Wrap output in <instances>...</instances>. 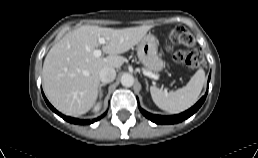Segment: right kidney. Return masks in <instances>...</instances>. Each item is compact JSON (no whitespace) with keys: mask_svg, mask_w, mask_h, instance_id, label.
<instances>
[{"mask_svg":"<svg viewBox=\"0 0 258 158\" xmlns=\"http://www.w3.org/2000/svg\"><path fill=\"white\" fill-rule=\"evenodd\" d=\"M100 107H101V102L97 103V105L94 107V111L96 112L99 111Z\"/></svg>","mask_w":258,"mask_h":158,"instance_id":"right-kidney-1","label":"right kidney"}]
</instances>
